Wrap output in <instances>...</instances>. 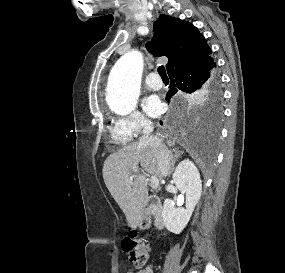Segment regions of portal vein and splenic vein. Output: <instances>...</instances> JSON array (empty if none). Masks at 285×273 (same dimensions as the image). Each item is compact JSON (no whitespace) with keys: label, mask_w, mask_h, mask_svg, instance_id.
I'll return each mask as SVG.
<instances>
[{"label":"portal vein and splenic vein","mask_w":285,"mask_h":273,"mask_svg":"<svg viewBox=\"0 0 285 273\" xmlns=\"http://www.w3.org/2000/svg\"><path fill=\"white\" fill-rule=\"evenodd\" d=\"M133 172L137 173L138 169H134ZM148 176L150 177L152 188H157L159 186V179L155 175L152 176L148 175ZM129 181H132V177L129 179Z\"/></svg>","instance_id":"portal-vein-and-splenic-vein-1"}]
</instances>
